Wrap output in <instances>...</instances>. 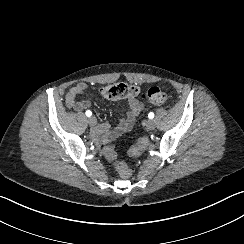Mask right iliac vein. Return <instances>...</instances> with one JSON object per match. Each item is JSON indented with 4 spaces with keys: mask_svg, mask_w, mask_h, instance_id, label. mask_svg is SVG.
I'll list each match as a JSON object with an SVG mask.
<instances>
[{
    "mask_svg": "<svg viewBox=\"0 0 244 244\" xmlns=\"http://www.w3.org/2000/svg\"><path fill=\"white\" fill-rule=\"evenodd\" d=\"M88 123L91 125V126H94L97 124V119L94 117V116H90L88 118Z\"/></svg>",
    "mask_w": 244,
    "mask_h": 244,
    "instance_id": "right-iliac-vein-1",
    "label": "right iliac vein"
}]
</instances>
